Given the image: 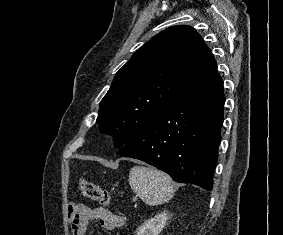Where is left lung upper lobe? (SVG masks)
I'll use <instances>...</instances> for the list:
<instances>
[{
  "label": "left lung upper lobe",
  "instance_id": "5c2ea615",
  "mask_svg": "<svg viewBox=\"0 0 283 235\" xmlns=\"http://www.w3.org/2000/svg\"><path fill=\"white\" fill-rule=\"evenodd\" d=\"M216 73L212 52L194 28H167L116 73L100 102L99 129L122 147Z\"/></svg>",
  "mask_w": 283,
  "mask_h": 235
}]
</instances>
